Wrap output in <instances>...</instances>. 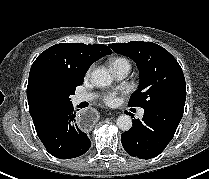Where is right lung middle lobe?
<instances>
[{
	"mask_svg": "<svg viewBox=\"0 0 209 179\" xmlns=\"http://www.w3.org/2000/svg\"><path fill=\"white\" fill-rule=\"evenodd\" d=\"M75 92V87H59L45 85L41 88L39 101L46 113H52L58 108L71 103L70 95Z\"/></svg>",
	"mask_w": 209,
	"mask_h": 179,
	"instance_id": "obj_1",
	"label": "right lung middle lobe"
}]
</instances>
